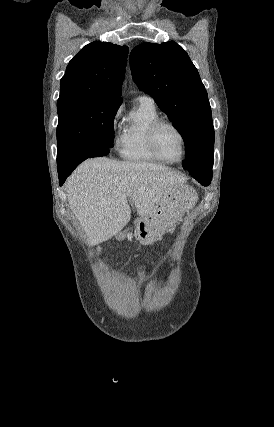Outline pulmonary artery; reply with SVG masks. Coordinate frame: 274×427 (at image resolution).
Returning <instances> with one entry per match:
<instances>
[{"mask_svg":"<svg viewBox=\"0 0 274 427\" xmlns=\"http://www.w3.org/2000/svg\"><path fill=\"white\" fill-rule=\"evenodd\" d=\"M139 103H140V105L155 107L154 100L151 97L146 96V95L139 97Z\"/></svg>","mask_w":274,"mask_h":427,"instance_id":"pulmonary-artery-1","label":"pulmonary artery"}]
</instances>
